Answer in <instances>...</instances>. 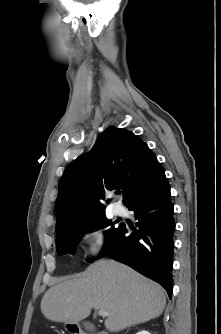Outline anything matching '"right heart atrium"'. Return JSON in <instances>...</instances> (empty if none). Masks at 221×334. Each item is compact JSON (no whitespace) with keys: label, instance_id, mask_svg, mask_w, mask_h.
<instances>
[{"label":"right heart atrium","instance_id":"obj_1","mask_svg":"<svg viewBox=\"0 0 221 334\" xmlns=\"http://www.w3.org/2000/svg\"><path fill=\"white\" fill-rule=\"evenodd\" d=\"M82 239L88 254L95 258L100 255L106 245V235L99 225H90L83 230Z\"/></svg>","mask_w":221,"mask_h":334}]
</instances>
